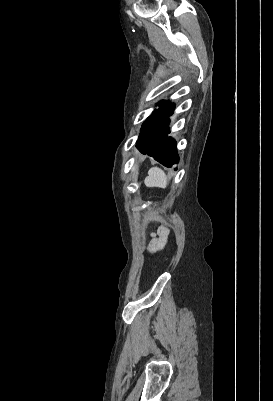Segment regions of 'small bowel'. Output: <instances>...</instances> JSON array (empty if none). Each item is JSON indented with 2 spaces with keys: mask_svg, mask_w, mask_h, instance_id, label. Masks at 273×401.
I'll return each instance as SVG.
<instances>
[{
  "mask_svg": "<svg viewBox=\"0 0 273 401\" xmlns=\"http://www.w3.org/2000/svg\"><path fill=\"white\" fill-rule=\"evenodd\" d=\"M162 245H163V241H156V239H154L149 246V251L156 252L157 250H159L162 247Z\"/></svg>",
  "mask_w": 273,
  "mask_h": 401,
  "instance_id": "obj_1",
  "label": "small bowel"
}]
</instances>
